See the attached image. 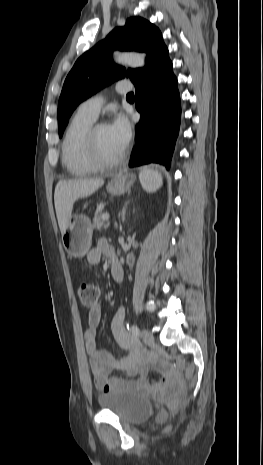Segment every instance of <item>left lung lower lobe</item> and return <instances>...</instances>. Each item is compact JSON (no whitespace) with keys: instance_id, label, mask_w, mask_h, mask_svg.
Segmentation results:
<instances>
[{"instance_id":"0a47b994","label":"left lung lower lobe","mask_w":263,"mask_h":465,"mask_svg":"<svg viewBox=\"0 0 263 465\" xmlns=\"http://www.w3.org/2000/svg\"><path fill=\"white\" fill-rule=\"evenodd\" d=\"M141 114L130 166L156 162L170 167L181 119L180 95L168 48L163 45L131 80Z\"/></svg>"}]
</instances>
